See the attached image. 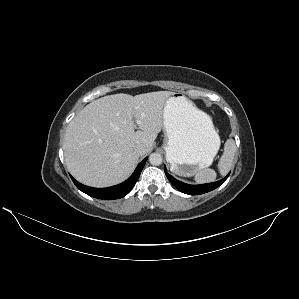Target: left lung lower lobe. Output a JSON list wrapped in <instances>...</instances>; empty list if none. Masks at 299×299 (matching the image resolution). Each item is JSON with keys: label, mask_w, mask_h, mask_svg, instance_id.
Returning a JSON list of instances; mask_svg holds the SVG:
<instances>
[{"label": "left lung lower lobe", "mask_w": 299, "mask_h": 299, "mask_svg": "<svg viewBox=\"0 0 299 299\" xmlns=\"http://www.w3.org/2000/svg\"><path fill=\"white\" fill-rule=\"evenodd\" d=\"M165 174L169 181L181 192L189 195H199L206 192H209L211 190H214L215 188L219 187L229 175H227L225 178H223L220 181L209 183V184H202V185H189L185 184L181 181L176 180L174 177H172L170 174L167 173L166 168L164 167Z\"/></svg>", "instance_id": "obj_1"}]
</instances>
